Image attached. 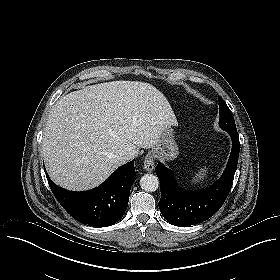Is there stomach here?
Listing matches in <instances>:
<instances>
[{
    "label": "stomach",
    "instance_id": "obj_1",
    "mask_svg": "<svg viewBox=\"0 0 280 280\" xmlns=\"http://www.w3.org/2000/svg\"><path fill=\"white\" fill-rule=\"evenodd\" d=\"M151 155L160 161H172L179 154L178 146L173 137V129L167 127L161 134L157 145L152 148Z\"/></svg>",
    "mask_w": 280,
    "mask_h": 280
}]
</instances>
